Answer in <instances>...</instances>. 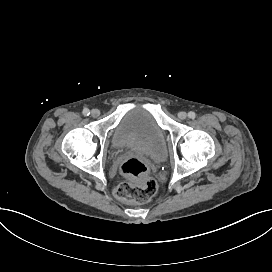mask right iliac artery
<instances>
[{"label":"right iliac artery","instance_id":"right-iliac-artery-1","mask_svg":"<svg viewBox=\"0 0 272 272\" xmlns=\"http://www.w3.org/2000/svg\"><path fill=\"white\" fill-rule=\"evenodd\" d=\"M83 115L89 116V115H90L89 109L85 108V109L83 110Z\"/></svg>","mask_w":272,"mask_h":272}]
</instances>
